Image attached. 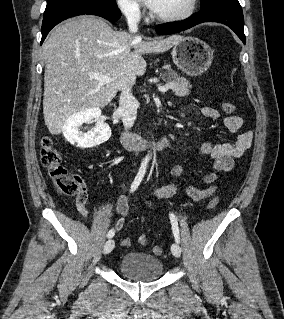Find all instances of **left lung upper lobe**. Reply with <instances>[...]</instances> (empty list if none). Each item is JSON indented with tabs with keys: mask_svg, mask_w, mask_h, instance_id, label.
<instances>
[{
	"mask_svg": "<svg viewBox=\"0 0 284 319\" xmlns=\"http://www.w3.org/2000/svg\"><path fill=\"white\" fill-rule=\"evenodd\" d=\"M221 4H237L238 0H201V10H207Z\"/></svg>",
	"mask_w": 284,
	"mask_h": 319,
	"instance_id": "obj_1",
	"label": "left lung upper lobe"
}]
</instances>
